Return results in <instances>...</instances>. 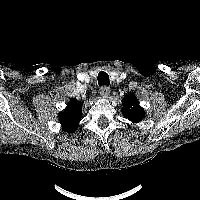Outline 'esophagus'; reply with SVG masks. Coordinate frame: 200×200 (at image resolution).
I'll list each match as a JSON object with an SVG mask.
<instances>
[{"mask_svg": "<svg viewBox=\"0 0 200 200\" xmlns=\"http://www.w3.org/2000/svg\"><path fill=\"white\" fill-rule=\"evenodd\" d=\"M100 94L105 98L108 97V95L110 94V88L106 85L102 86L100 88Z\"/></svg>", "mask_w": 200, "mask_h": 200, "instance_id": "1", "label": "esophagus"}]
</instances>
